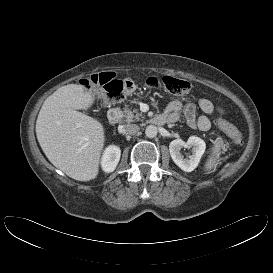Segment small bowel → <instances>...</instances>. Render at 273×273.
Masks as SVG:
<instances>
[{"instance_id":"1","label":"small bowel","mask_w":273,"mask_h":273,"mask_svg":"<svg viewBox=\"0 0 273 273\" xmlns=\"http://www.w3.org/2000/svg\"><path fill=\"white\" fill-rule=\"evenodd\" d=\"M198 108L204 114L197 117V106L194 103H184L179 100H174L167 105L163 115L167 118L168 123H175L184 117L189 127L201 131H208L211 127V120L208 115L223 113L221 109L215 107V105L208 99H200L198 102Z\"/></svg>"}]
</instances>
